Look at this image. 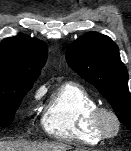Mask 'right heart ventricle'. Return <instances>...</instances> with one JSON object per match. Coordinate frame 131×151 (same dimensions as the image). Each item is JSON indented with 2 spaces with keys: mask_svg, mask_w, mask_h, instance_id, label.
Instances as JSON below:
<instances>
[{
  "mask_svg": "<svg viewBox=\"0 0 131 151\" xmlns=\"http://www.w3.org/2000/svg\"><path fill=\"white\" fill-rule=\"evenodd\" d=\"M95 99L81 85L65 82L49 97L42 125L50 136L64 141L97 144L103 140L91 125Z\"/></svg>",
  "mask_w": 131,
  "mask_h": 151,
  "instance_id": "right-heart-ventricle-1",
  "label": "right heart ventricle"
}]
</instances>
